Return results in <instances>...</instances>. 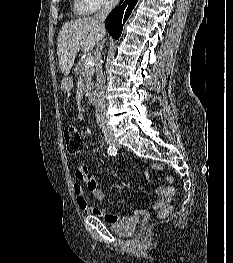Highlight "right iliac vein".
I'll return each instance as SVG.
<instances>
[{
	"instance_id": "obj_1",
	"label": "right iliac vein",
	"mask_w": 233,
	"mask_h": 263,
	"mask_svg": "<svg viewBox=\"0 0 233 263\" xmlns=\"http://www.w3.org/2000/svg\"><path fill=\"white\" fill-rule=\"evenodd\" d=\"M105 139L109 145H112V146H118L119 145L117 139L112 134H106Z\"/></svg>"
}]
</instances>
